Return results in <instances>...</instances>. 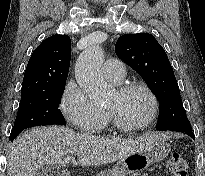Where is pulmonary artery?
Listing matches in <instances>:
<instances>
[{
	"label": "pulmonary artery",
	"mask_w": 205,
	"mask_h": 176,
	"mask_svg": "<svg viewBox=\"0 0 205 176\" xmlns=\"http://www.w3.org/2000/svg\"><path fill=\"white\" fill-rule=\"evenodd\" d=\"M103 73L107 80L114 84H119L125 78L124 64L120 60L108 59L104 63Z\"/></svg>",
	"instance_id": "obj_1"
}]
</instances>
